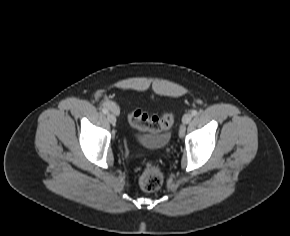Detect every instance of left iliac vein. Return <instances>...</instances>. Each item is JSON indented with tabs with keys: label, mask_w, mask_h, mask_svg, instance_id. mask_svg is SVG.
Instances as JSON below:
<instances>
[{
	"label": "left iliac vein",
	"mask_w": 290,
	"mask_h": 236,
	"mask_svg": "<svg viewBox=\"0 0 290 236\" xmlns=\"http://www.w3.org/2000/svg\"><path fill=\"white\" fill-rule=\"evenodd\" d=\"M191 119H192V114L186 113L182 118V122L184 124H188L191 121Z\"/></svg>",
	"instance_id": "4c4485c4"
}]
</instances>
